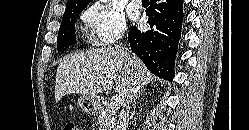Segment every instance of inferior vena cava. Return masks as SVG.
<instances>
[{
    "instance_id": "obj_1",
    "label": "inferior vena cava",
    "mask_w": 249,
    "mask_h": 130,
    "mask_svg": "<svg viewBox=\"0 0 249 130\" xmlns=\"http://www.w3.org/2000/svg\"><path fill=\"white\" fill-rule=\"evenodd\" d=\"M139 89H140V87H139L138 83L136 81H133L131 83V86H130L128 92L126 93V95L122 101L123 108H122V111L119 115L117 130H127L131 103L135 99V97L137 96Z\"/></svg>"
}]
</instances>
